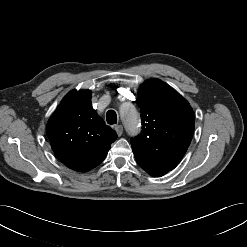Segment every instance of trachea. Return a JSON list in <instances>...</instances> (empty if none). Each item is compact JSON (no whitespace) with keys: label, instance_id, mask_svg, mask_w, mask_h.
Here are the masks:
<instances>
[{"label":"trachea","instance_id":"obj_1","mask_svg":"<svg viewBox=\"0 0 247 247\" xmlns=\"http://www.w3.org/2000/svg\"><path fill=\"white\" fill-rule=\"evenodd\" d=\"M106 119L108 124H116L117 123V115L114 110H108L106 114Z\"/></svg>","mask_w":247,"mask_h":247}]
</instances>
